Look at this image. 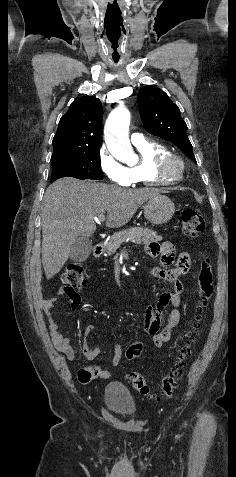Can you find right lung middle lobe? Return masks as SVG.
<instances>
[{
    "label": "right lung middle lobe",
    "instance_id": "1",
    "mask_svg": "<svg viewBox=\"0 0 236 477\" xmlns=\"http://www.w3.org/2000/svg\"><path fill=\"white\" fill-rule=\"evenodd\" d=\"M51 164L53 166L51 182L62 177L102 180L99 149L53 160Z\"/></svg>",
    "mask_w": 236,
    "mask_h": 477
}]
</instances>
